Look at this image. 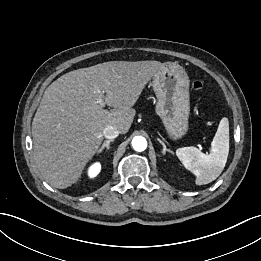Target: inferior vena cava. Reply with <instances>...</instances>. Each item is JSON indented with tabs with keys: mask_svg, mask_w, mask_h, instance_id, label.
<instances>
[{
	"mask_svg": "<svg viewBox=\"0 0 261 261\" xmlns=\"http://www.w3.org/2000/svg\"><path fill=\"white\" fill-rule=\"evenodd\" d=\"M119 130L114 126H107L103 131V136L107 139L113 140L119 135Z\"/></svg>",
	"mask_w": 261,
	"mask_h": 261,
	"instance_id": "inferior-vena-cava-1",
	"label": "inferior vena cava"
}]
</instances>
